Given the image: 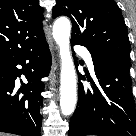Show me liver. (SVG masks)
Instances as JSON below:
<instances>
[{
    "instance_id": "1",
    "label": "liver",
    "mask_w": 136,
    "mask_h": 136,
    "mask_svg": "<svg viewBox=\"0 0 136 136\" xmlns=\"http://www.w3.org/2000/svg\"><path fill=\"white\" fill-rule=\"evenodd\" d=\"M0 136H5V135H3V134L0 133Z\"/></svg>"
}]
</instances>
